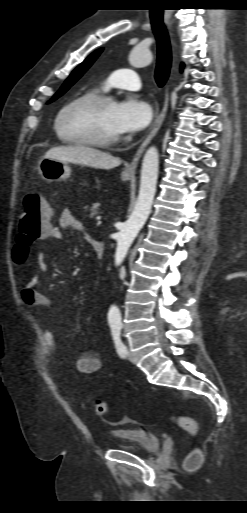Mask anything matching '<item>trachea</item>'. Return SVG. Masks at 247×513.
<instances>
[{
    "mask_svg": "<svg viewBox=\"0 0 247 513\" xmlns=\"http://www.w3.org/2000/svg\"><path fill=\"white\" fill-rule=\"evenodd\" d=\"M151 25L157 41V64L155 79L159 87H162L170 73L172 54L168 32L162 20L151 17Z\"/></svg>",
    "mask_w": 247,
    "mask_h": 513,
    "instance_id": "trachea-1",
    "label": "trachea"
}]
</instances>
